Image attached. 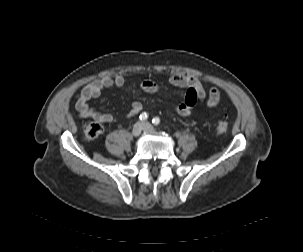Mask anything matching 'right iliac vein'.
Returning a JSON list of instances; mask_svg holds the SVG:
<instances>
[{
    "label": "right iliac vein",
    "instance_id": "right-iliac-vein-1",
    "mask_svg": "<svg viewBox=\"0 0 303 252\" xmlns=\"http://www.w3.org/2000/svg\"><path fill=\"white\" fill-rule=\"evenodd\" d=\"M142 130H143V125H142V123L137 122V123H135L134 126H133L132 135H133L134 137H138V136L141 134Z\"/></svg>",
    "mask_w": 303,
    "mask_h": 252
}]
</instances>
